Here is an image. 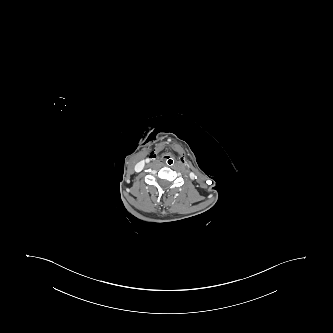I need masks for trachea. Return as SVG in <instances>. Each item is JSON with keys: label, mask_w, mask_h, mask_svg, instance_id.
Segmentation results:
<instances>
[{"label": "trachea", "mask_w": 333, "mask_h": 333, "mask_svg": "<svg viewBox=\"0 0 333 333\" xmlns=\"http://www.w3.org/2000/svg\"><path fill=\"white\" fill-rule=\"evenodd\" d=\"M163 162H164L165 166L172 167V166H174V164L176 162V157L172 153H167L163 157Z\"/></svg>", "instance_id": "1"}]
</instances>
